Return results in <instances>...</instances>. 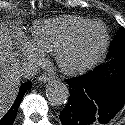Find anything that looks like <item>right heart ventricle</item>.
Here are the masks:
<instances>
[{"mask_svg":"<svg viewBox=\"0 0 125 125\" xmlns=\"http://www.w3.org/2000/svg\"><path fill=\"white\" fill-rule=\"evenodd\" d=\"M89 21L91 20L78 16L38 21L31 28V42L41 53H55L63 41Z\"/></svg>","mask_w":125,"mask_h":125,"instance_id":"right-heart-ventricle-1","label":"right heart ventricle"}]
</instances>
